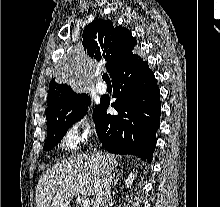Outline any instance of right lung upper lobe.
<instances>
[{"label":"right lung upper lobe","instance_id":"1","mask_svg":"<svg viewBox=\"0 0 220 207\" xmlns=\"http://www.w3.org/2000/svg\"><path fill=\"white\" fill-rule=\"evenodd\" d=\"M82 44L86 55L103 62L112 78L115 70L134 55L133 49L137 40L127 28L113 24L109 20L96 19L86 26ZM75 94L70 85L52 79L49 84L46 116Z\"/></svg>","mask_w":220,"mask_h":207}]
</instances>
